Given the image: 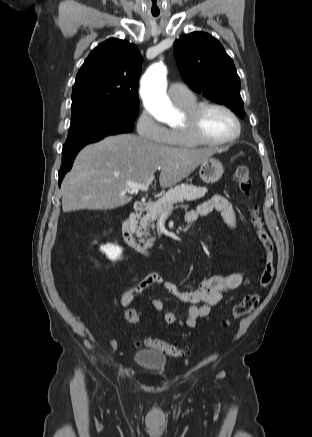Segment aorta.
Returning a JSON list of instances; mask_svg holds the SVG:
<instances>
[{
    "label": "aorta",
    "instance_id": "aorta-1",
    "mask_svg": "<svg viewBox=\"0 0 312 437\" xmlns=\"http://www.w3.org/2000/svg\"><path fill=\"white\" fill-rule=\"evenodd\" d=\"M167 70L163 63L151 65L141 80L140 94L147 110L156 120L170 123L174 108L166 94Z\"/></svg>",
    "mask_w": 312,
    "mask_h": 437
}]
</instances>
